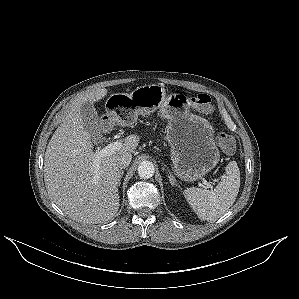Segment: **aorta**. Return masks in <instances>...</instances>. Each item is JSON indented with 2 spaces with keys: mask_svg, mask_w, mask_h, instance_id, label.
Masks as SVG:
<instances>
[{
  "mask_svg": "<svg viewBox=\"0 0 299 299\" xmlns=\"http://www.w3.org/2000/svg\"><path fill=\"white\" fill-rule=\"evenodd\" d=\"M155 173V168L152 162L143 161L138 166V175L142 179H149Z\"/></svg>",
  "mask_w": 299,
  "mask_h": 299,
  "instance_id": "1",
  "label": "aorta"
}]
</instances>
